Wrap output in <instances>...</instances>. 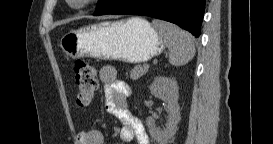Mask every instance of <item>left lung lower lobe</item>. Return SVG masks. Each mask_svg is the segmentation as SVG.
Masks as SVG:
<instances>
[{"instance_id":"0a47b994","label":"left lung lower lobe","mask_w":273,"mask_h":144,"mask_svg":"<svg viewBox=\"0 0 273 144\" xmlns=\"http://www.w3.org/2000/svg\"><path fill=\"white\" fill-rule=\"evenodd\" d=\"M206 0H111L103 11L94 15H142L163 19L201 34Z\"/></svg>"}]
</instances>
